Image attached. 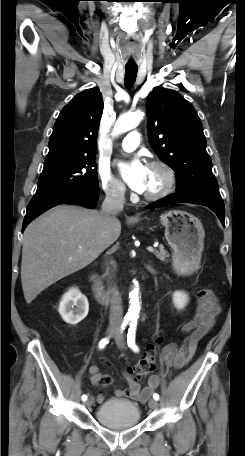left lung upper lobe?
<instances>
[{"instance_id":"1","label":"left lung upper lobe","mask_w":245,"mask_h":456,"mask_svg":"<svg viewBox=\"0 0 245 456\" xmlns=\"http://www.w3.org/2000/svg\"><path fill=\"white\" fill-rule=\"evenodd\" d=\"M146 110L150 146L175 171L176 194L222 200L194 107L179 93L158 87L148 95Z\"/></svg>"}]
</instances>
